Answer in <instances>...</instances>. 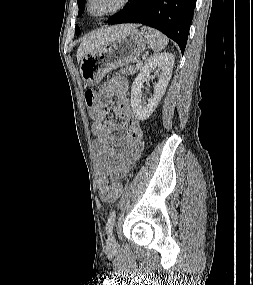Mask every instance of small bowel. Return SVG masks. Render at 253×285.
<instances>
[{
    "label": "small bowel",
    "mask_w": 253,
    "mask_h": 285,
    "mask_svg": "<svg viewBox=\"0 0 253 285\" xmlns=\"http://www.w3.org/2000/svg\"><path fill=\"white\" fill-rule=\"evenodd\" d=\"M128 83L121 76H113L100 88L95 104L90 108L94 122L91 130L98 155L97 188L102 201L113 202L118 193L112 181L122 178L138 160L143 149V131L132 112ZM112 110L121 123L107 119ZM121 132V135H116Z\"/></svg>",
    "instance_id": "small-bowel-1"
}]
</instances>
